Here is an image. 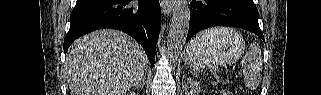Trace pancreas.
<instances>
[{
  "instance_id": "cf45deb5",
  "label": "pancreas",
  "mask_w": 321,
  "mask_h": 95,
  "mask_svg": "<svg viewBox=\"0 0 321 95\" xmlns=\"http://www.w3.org/2000/svg\"><path fill=\"white\" fill-rule=\"evenodd\" d=\"M190 83V85H191V91H193V92H199V90H200V85L198 84V82H196V81H190L189 82Z\"/></svg>"
}]
</instances>
